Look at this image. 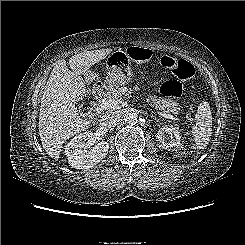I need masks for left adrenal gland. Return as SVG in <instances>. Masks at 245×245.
<instances>
[{"label":"left adrenal gland","mask_w":245,"mask_h":245,"mask_svg":"<svg viewBox=\"0 0 245 245\" xmlns=\"http://www.w3.org/2000/svg\"><path fill=\"white\" fill-rule=\"evenodd\" d=\"M151 118L156 119L153 115H150Z\"/></svg>","instance_id":"left-adrenal-gland-1"}]
</instances>
